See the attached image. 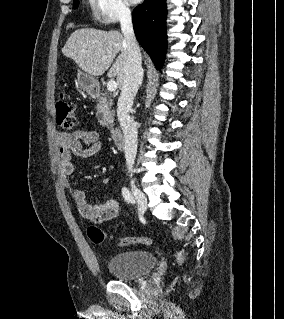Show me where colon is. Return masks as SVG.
<instances>
[{
  "mask_svg": "<svg viewBox=\"0 0 284 319\" xmlns=\"http://www.w3.org/2000/svg\"><path fill=\"white\" fill-rule=\"evenodd\" d=\"M56 109V123L64 131H71L76 124V118L74 114L73 102L64 94L60 95V98L55 104ZM89 239L95 244H101L106 240L105 233L96 226H91L87 230ZM117 243L121 246H133V245H150L152 239L145 236L123 238L117 240ZM184 254L182 252L177 253V261L182 262Z\"/></svg>",
  "mask_w": 284,
  "mask_h": 319,
  "instance_id": "1",
  "label": "colon"
}]
</instances>
